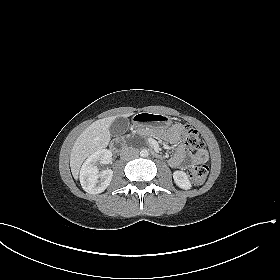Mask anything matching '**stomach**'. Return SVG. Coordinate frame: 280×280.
Wrapping results in <instances>:
<instances>
[{
    "label": "stomach",
    "mask_w": 280,
    "mask_h": 280,
    "mask_svg": "<svg viewBox=\"0 0 280 280\" xmlns=\"http://www.w3.org/2000/svg\"><path fill=\"white\" fill-rule=\"evenodd\" d=\"M134 123L137 125H152L157 129L166 130L170 127L172 121L170 117L163 114L142 112L134 116Z\"/></svg>",
    "instance_id": "1"
}]
</instances>
